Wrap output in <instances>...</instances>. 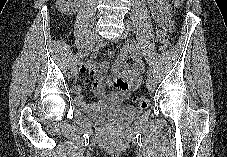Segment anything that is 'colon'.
Instances as JSON below:
<instances>
[{
  "label": "colon",
  "mask_w": 227,
  "mask_h": 157,
  "mask_svg": "<svg viewBox=\"0 0 227 157\" xmlns=\"http://www.w3.org/2000/svg\"><path fill=\"white\" fill-rule=\"evenodd\" d=\"M181 4H182V0H173V5L175 7L178 8V7H180ZM156 34H157V39L161 44V47L163 49H167L170 45L167 26H165L163 24H159L157 26ZM133 102L141 108H146L149 103L148 98L145 96H135L133 98Z\"/></svg>",
  "instance_id": "1"
}]
</instances>
